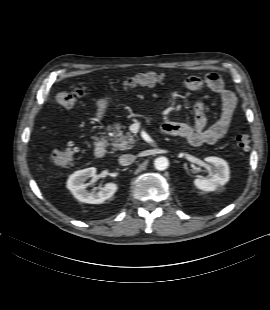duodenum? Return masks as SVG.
<instances>
[{"instance_id":"1","label":"duodenum","mask_w":270,"mask_h":310,"mask_svg":"<svg viewBox=\"0 0 270 310\" xmlns=\"http://www.w3.org/2000/svg\"><path fill=\"white\" fill-rule=\"evenodd\" d=\"M106 153V141L103 138H99L94 146V155L96 158L101 159Z\"/></svg>"}]
</instances>
